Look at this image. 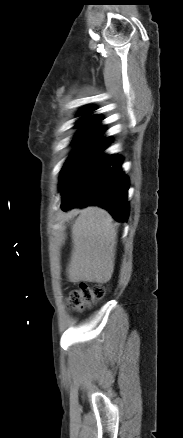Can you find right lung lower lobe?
I'll return each instance as SVG.
<instances>
[{"mask_svg": "<svg viewBox=\"0 0 183 438\" xmlns=\"http://www.w3.org/2000/svg\"><path fill=\"white\" fill-rule=\"evenodd\" d=\"M100 134L86 144L62 171V209L99 205L117 221H126L129 180L120 168L121 157L102 154L110 140L101 138Z\"/></svg>", "mask_w": 183, "mask_h": 438, "instance_id": "98d812e1", "label": "right lung lower lobe"}]
</instances>
